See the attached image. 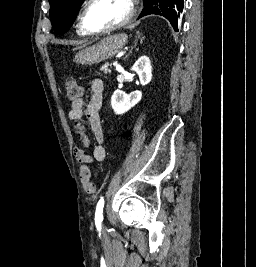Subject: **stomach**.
<instances>
[{
	"mask_svg": "<svg viewBox=\"0 0 256 267\" xmlns=\"http://www.w3.org/2000/svg\"><path fill=\"white\" fill-rule=\"evenodd\" d=\"M127 42V34L106 36L98 44H93V46H88V48H84V50L78 52L74 58V62H77V64H88V66L99 64V62L108 60V58H112V56L121 52Z\"/></svg>",
	"mask_w": 256,
	"mask_h": 267,
	"instance_id": "1",
	"label": "stomach"
}]
</instances>
